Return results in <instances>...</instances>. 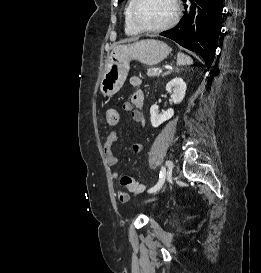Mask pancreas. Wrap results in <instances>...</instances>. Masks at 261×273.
Instances as JSON below:
<instances>
[{
	"instance_id": "pancreas-1",
	"label": "pancreas",
	"mask_w": 261,
	"mask_h": 273,
	"mask_svg": "<svg viewBox=\"0 0 261 273\" xmlns=\"http://www.w3.org/2000/svg\"><path fill=\"white\" fill-rule=\"evenodd\" d=\"M147 75L149 77H156V76H159L160 73L158 72V69L157 68H149L147 70Z\"/></svg>"
}]
</instances>
